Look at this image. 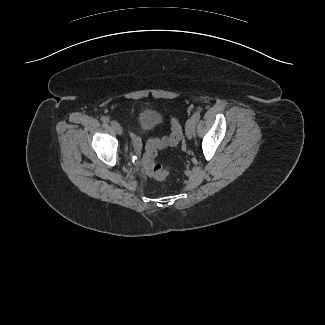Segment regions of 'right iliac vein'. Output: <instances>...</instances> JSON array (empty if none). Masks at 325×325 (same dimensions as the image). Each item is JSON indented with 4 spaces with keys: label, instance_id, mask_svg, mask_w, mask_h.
<instances>
[{
    "label": "right iliac vein",
    "instance_id": "63e3f726",
    "mask_svg": "<svg viewBox=\"0 0 325 325\" xmlns=\"http://www.w3.org/2000/svg\"><path fill=\"white\" fill-rule=\"evenodd\" d=\"M111 127L116 131L117 134L121 135L122 134V127L117 121H110Z\"/></svg>",
    "mask_w": 325,
    "mask_h": 325
}]
</instances>
